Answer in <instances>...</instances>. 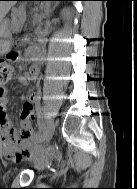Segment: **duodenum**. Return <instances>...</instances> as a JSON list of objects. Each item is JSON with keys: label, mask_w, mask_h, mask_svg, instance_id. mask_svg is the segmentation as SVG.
Listing matches in <instances>:
<instances>
[{"label": "duodenum", "mask_w": 137, "mask_h": 189, "mask_svg": "<svg viewBox=\"0 0 137 189\" xmlns=\"http://www.w3.org/2000/svg\"><path fill=\"white\" fill-rule=\"evenodd\" d=\"M30 53L32 56H35V59H37L40 52H39L38 47H32L30 49Z\"/></svg>", "instance_id": "1"}]
</instances>
